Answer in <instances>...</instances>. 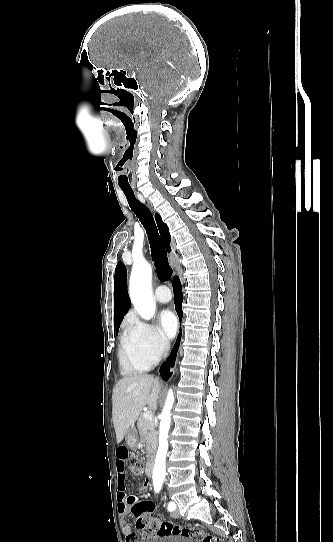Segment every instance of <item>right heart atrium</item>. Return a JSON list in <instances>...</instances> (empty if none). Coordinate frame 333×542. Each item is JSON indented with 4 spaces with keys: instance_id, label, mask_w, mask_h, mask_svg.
Here are the masks:
<instances>
[{
    "instance_id": "1",
    "label": "right heart atrium",
    "mask_w": 333,
    "mask_h": 542,
    "mask_svg": "<svg viewBox=\"0 0 333 542\" xmlns=\"http://www.w3.org/2000/svg\"><path fill=\"white\" fill-rule=\"evenodd\" d=\"M129 336L156 358L165 356L169 350L168 340L155 324L135 320L129 331Z\"/></svg>"
}]
</instances>
